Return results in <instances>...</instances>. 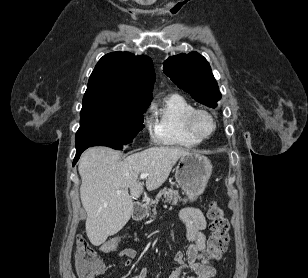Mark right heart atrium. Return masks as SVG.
Instances as JSON below:
<instances>
[{
    "label": "right heart atrium",
    "instance_id": "d8ad5b80",
    "mask_svg": "<svg viewBox=\"0 0 308 278\" xmlns=\"http://www.w3.org/2000/svg\"><path fill=\"white\" fill-rule=\"evenodd\" d=\"M145 124H146V127L148 128V130L151 132V122H150V120H146Z\"/></svg>",
    "mask_w": 308,
    "mask_h": 278
}]
</instances>
